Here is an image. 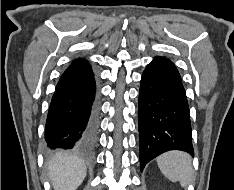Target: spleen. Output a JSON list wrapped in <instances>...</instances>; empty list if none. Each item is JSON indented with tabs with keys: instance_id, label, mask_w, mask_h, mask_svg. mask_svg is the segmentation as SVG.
I'll use <instances>...</instances> for the list:
<instances>
[{
	"instance_id": "3e777b00",
	"label": "spleen",
	"mask_w": 234,
	"mask_h": 190,
	"mask_svg": "<svg viewBox=\"0 0 234 190\" xmlns=\"http://www.w3.org/2000/svg\"><path fill=\"white\" fill-rule=\"evenodd\" d=\"M157 164L163 175L172 182L179 181L182 187L191 183L193 176L192 160L183 151H169L157 158Z\"/></svg>"
}]
</instances>
